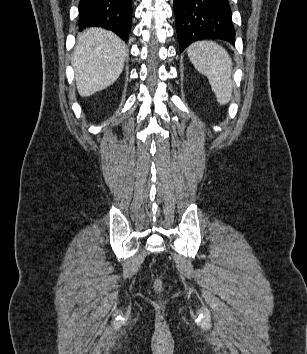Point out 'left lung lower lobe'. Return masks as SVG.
Wrapping results in <instances>:
<instances>
[{
	"label": "left lung lower lobe",
	"mask_w": 307,
	"mask_h": 354,
	"mask_svg": "<svg viewBox=\"0 0 307 354\" xmlns=\"http://www.w3.org/2000/svg\"><path fill=\"white\" fill-rule=\"evenodd\" d=\"M174 13L181 51L205 38L235 43L228 0H174Z\"/></svg>",
	"instance_id": "left-lung-lower-lobe-1"
}]
</instances>
